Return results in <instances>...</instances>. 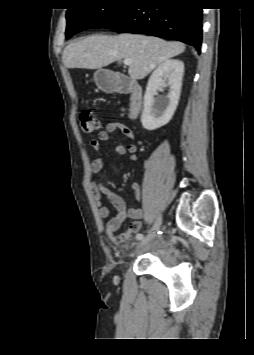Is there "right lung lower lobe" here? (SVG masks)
I'll list each match as a JSON object with an SVG mask.
<instances>
[{"mask_svg":"<svg viewBox=\"0 0 254 355\" xmlns=\"http://www.w3.org/2000/svg\"><path fill=\"white\" fill-rule=\"evenodd\" d=\"M104 28L176 39L193 45L200 53L202 8L198 0H138Z\"/></svg>","mask_w":254,"mask_h":355,"instance_id":"1","label":"right lung lower lobe"}]
</instances>
